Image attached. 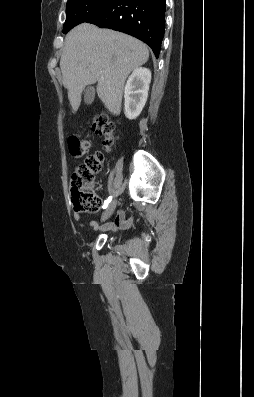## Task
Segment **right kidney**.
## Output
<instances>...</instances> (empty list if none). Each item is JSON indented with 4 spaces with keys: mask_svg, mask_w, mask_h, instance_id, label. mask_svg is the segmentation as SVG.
Returning a JSON list of instances; mask_svg holds the SVG:
<instances>
[{
    "mask_svg": "<svg viewBox=\"0 0 254 397\" xmlns=\"http://www.w3.org/2000/svg\"><path fill=\"white\" fill-rule=\"evenodd\" d=\"M151 71L136 68L129 76L124 90L125 116L132 120L139 116L148 97Z\"/></svg>",
    "mask_w": 254,
    "mask_h": 397,
    "instance_id": "ca27d5eb",
    "label": "right kidney"
}]
</instances>
